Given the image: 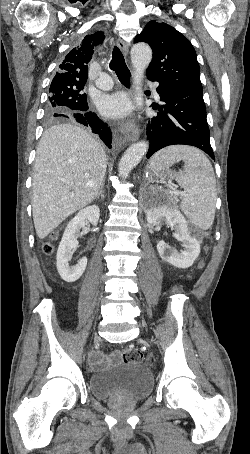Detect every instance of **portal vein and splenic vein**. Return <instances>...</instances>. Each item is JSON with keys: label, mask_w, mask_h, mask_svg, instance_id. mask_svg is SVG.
I'll return each instance as SVG.
<instances>
[{"label": "portal vein and splenic vein", "mask_w": 250, "mask_h": 454, "mask_svg": "<svg viewBox=\"0 0 250 454\" xmlns=\"http://www.w3.org/2000/svg\"><path fill=\"white\" fill-rule=\"evenodd\" d=\"M171 191H173L175 193H179L176 188H171Z\"/></svg>", "instance_id": "obj_1"}]
</instances>
